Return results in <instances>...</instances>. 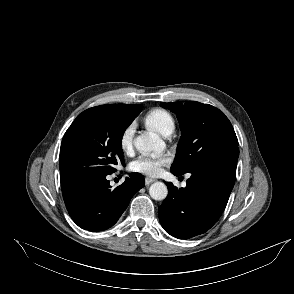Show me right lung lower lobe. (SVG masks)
Wrapping results in <instances>:
<instances>
[{
	"label": "right lung lower lobe",
	"instance_id": "1",
	"mask_svg": "<svg viewBox=\"0 0 294 294\" xmlns=\"http://www.w3.org/2000/svg\"><path fill=\"white\" fill-rule=\"evenodd\" d=\"M105 174L73 176L61 180L69 215L81 228L102 231L112 227L126 210L133 195L145 184L139 173L111 189Z\"/></svg>",
	"mask_w": 294,
	"mask_h": 294
}]
</instances>
